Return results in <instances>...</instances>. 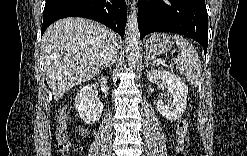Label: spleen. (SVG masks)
<instances>
[{
  "label": "spleen",
  "mask_w": 247,
  "mask_h": 156,
  "mask_svg": "<svg viewBox=\"0 0 247 156\" xmlns=\"http://www.w3.org/2000/svg\"><path fill=\"white\" fill-rule=\"evenodd\" d=\"M172 38L178 49L175 59L177 70L185 75L190 85L197 86L201 80L202 65L196 49L180 35L175 34Z\"/></svg>",
  "instance_id": "spleen-1"
}]
</instances>
